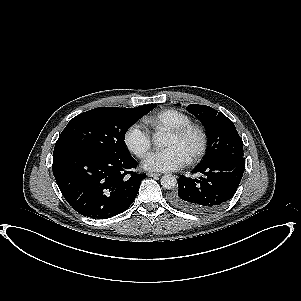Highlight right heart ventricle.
<instances>
[{
	"mask_svg": "<svg viewBox=\"0 0 301 301\" xmlns=\"http://www.w3.org/2000/svg\"><path fill=\"white\" fill-rule=\"evenodd\" d=\"M148 124L157 133L181 128L191 124V119L177 110H167L149 119Z\"/></svg>",
	"mask_w": 301,
	"mask_h": 301,
	"instance_id": "1",
	"label": "right heart ventricle"
}]
</instances>
